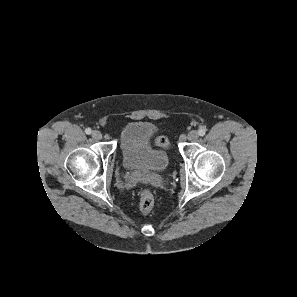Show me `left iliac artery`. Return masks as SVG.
Instances as JSON below:
<instances>
[{"mask_svg": "<svg viewBox=\"0 0 297 297\" xmlns=\"http://www.w3.org/2000/svg\"><path fill=\"white\" fill-rule=\"evenodd\" d=\"M205 133H206V130H205L204 128H201V129H199V131H198V134H199L200 136H204Z\"/></svg>", "mask_w": 297, "mask_h": 297, "instance_id": "1", "label": "left iliac artery"}]
</instances>
